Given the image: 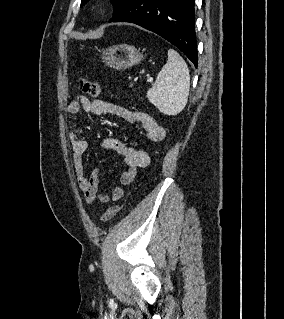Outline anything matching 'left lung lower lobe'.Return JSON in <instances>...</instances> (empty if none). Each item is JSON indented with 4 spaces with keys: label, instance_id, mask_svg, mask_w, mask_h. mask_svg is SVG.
Returning a JSON list of instances; mask_svg holds the SVG:
<instances>
[{
    "label": "left lung lower lobe",
    "instance_id": "left-lung-lower-lobe-1",
    "mask_svg": "<svg viewBox=\"0 0 284 319\" xmlns=\"http://www.w3.org/2000/svg\"><path fill=\"white\" fill-rule=\"evenodd\" d=\"M109 22H130L177 46L197 67L194 0H129Z\"/></svg>",
    "mask_w": 284,
    "mask_h": 319
}]
</instances>
